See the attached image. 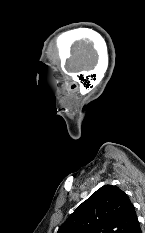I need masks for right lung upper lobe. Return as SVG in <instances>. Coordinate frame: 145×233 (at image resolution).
Wrapping results in <instances>:
<instances>
[{
    "label": "right lung upper lobe",
    "instance_id": "1",
    "mask_svg": "<svg viewBox=\"0 0 145 233\" xmlns=\"http://www.w3.org/2000/svg\"><path fill=\"white\" fill-rule=\"evenodd\" d=\"M137 215L129 197L105 185L84 201L57 233H130Z\"/></svg>",
    "mask_w": 145,
    "mask_h": 233
}]
</instances>
